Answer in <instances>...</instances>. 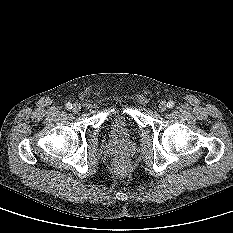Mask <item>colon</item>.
<instances>
[{"label": "colon", "mask_w": 233, "mask_h": 233, "mask_svg": "<svg viewBox=\"0 0 233 233\" xmlns=\"http://www.w3.org/2000/svg\"><path fill=\"white\" fill-rule=\"evenodd\" d=\"M114 167L118 172H124L128 169L129 167V162L125 158H118L114 162Z\"/></svg>", "instance_id": "obj_1"}]
</instances>
